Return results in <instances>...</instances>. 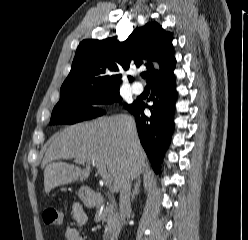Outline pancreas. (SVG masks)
I'll return each mask as SVG.
<instances>
[{"instance_id":"obj_1","label":"pancreas","mask_w":248,"mask_h":240,"mask_svg":"<svg viewBox=\"0 0 248 240\" xmlns=\"http://www.w3.org/2000/svg\"><path fill=\"white\" fill-rule=\"evenodd\" d=\"M96 218L106 222L104 240H114L119 232V218L116 208L107 205L102 211L98 208Z\"/></svg>"}]
</instances>
